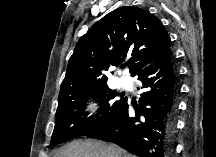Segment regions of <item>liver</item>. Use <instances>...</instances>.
<instances>
[{
  "mask_svg": "<svg viewBox=\"0 0 216 157\" xmlns=\"http://www.w3.org/2000/svg\"><path fill=\"white\" fill-rule=\"evenodd\" d=\"M54 157H131V154L114 144L88 140L65 145Z\"/></svg>",
  "mask_w": 216,
  "mask_h": 157,
  "instance_id": "1",
  "label": "liver"
}]
</instances>
